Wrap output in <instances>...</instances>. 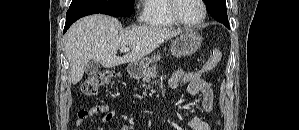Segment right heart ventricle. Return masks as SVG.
Returning a JSON list of instances; mask_svg holds the SVG:
<instances>
[{
	"label": "right heart ventricle",
	"mask_w": 299,
	"mask_h": 130,
	"mask_svg": "<svg viewBox=\"0 0 299 130\" xmlns=\"http://www.w3.org/2000/svg\"><path fill=\"white\" fill-rule=\"evenodd\" d=\"M142 19L146 25L151 27L169 28L177 26L169 12V0H146Z\"/></svg>",
	"instance_id": "obj_1"
}]
</instances>
